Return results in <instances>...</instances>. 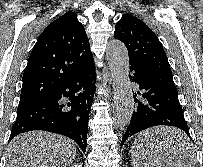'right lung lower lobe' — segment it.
Returning <instances> with one entry per match:
<instances>
[{
  "label": "right lung lower lobe",
  "mask_w": 203,
  "mask_h": 167,
  "mask_svg": "<svg viewBox=\"0 0 203 167\" xmlns=\"http://www.w3.org/2000/svg\"><path fill=\"white\" fill-rule=\"evenodd\" d=\"M94 79L93 61L68 77L47 98L19 105L9 140L20 133L44 130L70 137L85 152ZM65 97L70 101H63Z\"/></svg>",
  "instance_id": "right-lung-lower-lobe-1"
}]
</instances>
